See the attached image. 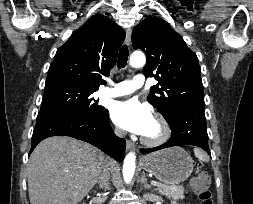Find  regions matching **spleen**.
<instances>
[{"mask_svg": "<svg viewBox=\"0 0 253 204\" xmlns=\"http://www.w3.org/2000/svg\"><path fill=\"white\" fill-rule=\"evenodd\" d=\"M194 153H195V156L198 159H200L201 161H205V162L209 161V157L203 151H201L200 149L195 148Z\"/></svg>", "mask_w": 253, "mask_h": 204, "instance_id": "obj_1", "label": "spleen"}]
</instances>
